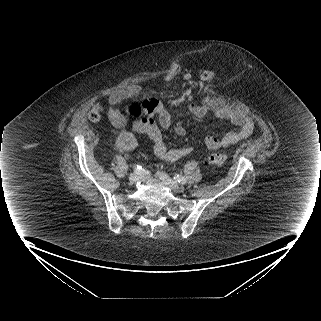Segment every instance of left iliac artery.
<instances>
[{
  "instance_id": "left-iliac-artery-1",
  "label": "left iliac artery",
  "mask_w": 321,
  "mask_h": 321,
  "mask_svg": "<svg viewBox=\"0 0 321 321\" xmlns=\"http://www.w3.org/2000/svg\"><path fill=\"white\" fill-rule=\"evenodd\" d=\"M174 179L180 184H186L187 182L186 178L180 175H175Z\"/></svg>"
}]
</instances>
